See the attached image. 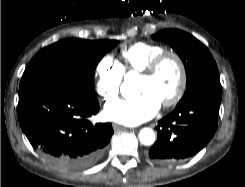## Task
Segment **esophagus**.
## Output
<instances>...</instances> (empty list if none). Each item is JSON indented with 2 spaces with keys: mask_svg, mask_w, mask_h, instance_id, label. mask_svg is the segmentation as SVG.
Instances as JSON below:
<instances>
[{
  "mask_svg": "<svg viewBox=\"0 0 245 187\" xmlns=\"http://www.w3.org/2000/svg\"><path fill=\"white\" fill-rule=\"evenodd\" d=\"M113 128H114L115 130H118V129H126L127 127L115 123V124H113Z\"/></svg>",
  "mask_w": 245,
  "mask_h": 187,
  "instance_id": "34e87169",
  "label": "esophagus"
}]
</instances>
